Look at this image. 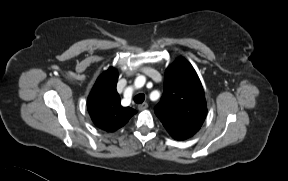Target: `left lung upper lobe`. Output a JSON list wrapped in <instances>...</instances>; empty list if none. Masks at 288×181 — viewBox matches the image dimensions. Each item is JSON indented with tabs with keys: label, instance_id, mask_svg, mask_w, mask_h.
<instances>
[{
	"label": "left lung upper lobe",
	"instance_id": "1",
	"mask_svg": "<svg viewBox=\"0 0 288 181\" xmlns=\"http://www.w3.org/2000/svg\"><path fill=\"white\" fill-rule=\"evenodd\" d=\"M155 114L176 140L192 137L202 126L207 114L204 90L186 59L180 58L166 69L164 93Z\"/></svg>",
	"mask_w": 288,
	"mask_h": 181
}]
</instances>
